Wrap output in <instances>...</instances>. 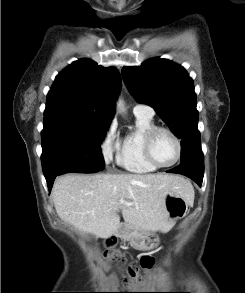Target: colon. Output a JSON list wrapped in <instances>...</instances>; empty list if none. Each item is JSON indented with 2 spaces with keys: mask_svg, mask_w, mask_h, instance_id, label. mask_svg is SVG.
Returning a JSON list of instances; mask_svg holds the SVG:
<instances>
[{
  "mask_svg": "<svg viewBox=\"0 0 245 293\" xmlns=\"http://www.w3.org/2000/svg\"><path fill=\"white\" fill-rule=\"evenodd\" d=\"M117 240L114 237H110L106 240L105 244L108 248L113 247L116 244ZM111 260L114 262H121L123 260L122 256L118 253H112L110 255ZM153 259L149 256H144L140 259L139 265L131 264L128 267V277L124 279L125 283H128L129 278H136L141 269L148 268L152 265ZM128 293V292H120Z\"/></svg>",
  "mask_w": 245,
  "mask_h": 293,
  "instance_id": "obj_1",
  "label": "colon"
}]
</instances>
